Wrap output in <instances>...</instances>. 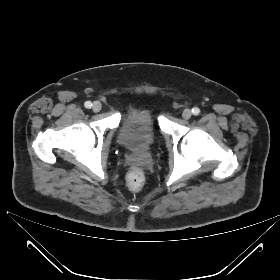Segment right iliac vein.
Masks as SVG:
<instances>
[{"label": "right iliac vein", "mask_w": 280, "mask_h": 280, "mask_svg": "<svg viewBox=\"0 0 280 280\" xmlns=\"http://www.w3.org/2000/svg\"><path fill=\"white\" fill-rule=\"evenodd\" d=\"M101 108H102V105L99 101H95L93 103L92 109L94 112H99L101 110Z\"/></svg>", "instance_id": "right-iliac-vein-1"}]
</instances>
